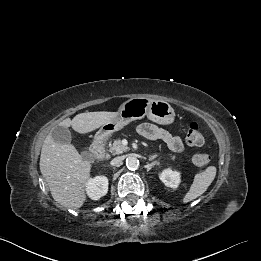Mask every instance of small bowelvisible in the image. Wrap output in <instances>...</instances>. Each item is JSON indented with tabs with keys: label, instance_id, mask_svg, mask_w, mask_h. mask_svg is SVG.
<instances>
[{
	"label": "small bowel",
	"instance_id": "small-bowel-1",
	"mask_svg": "<svg viewBox=\"0 0 261 261\" xmlns=\"http://www.w3.org/2000/svg\"><path fill=\"white\" fill-rule=\"evenodd\" d=\"M138 131L140 135L148 140H163L174 152L181 153L185 149L184 143L180 137L173 136L154 124L143 123L139 126Z\"/></svg>",
	"mask_w": 261,
	"mask_h": 261
}]
</instances>
